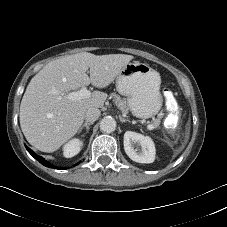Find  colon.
I'll list each match as a JSON object with an SVG mask.
<instances>
[{
    "label": "colon",
    "instance_id": "1",
    "mask_svg": "<svg viewBox=\"0 0 227 227\" xmlns=\"http://www.w3.org/2000/svg\"><path fill=\"white\" fill-rule=\"evenodd\" d=\"M162 95H163L164 99H165L167 102H169L170 104H172V105L177 104V100H176V98H175V96H174V94H173V92H172L171 90H169V89H164V90L162 91Z\"/></svg>",
    "mask_w": 227,
    "mask_h": 227
}]
</instances>
